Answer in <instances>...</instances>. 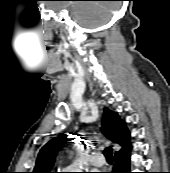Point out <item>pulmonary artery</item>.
Listing matches in <instances>:
<instances>
[{
    "instance_id": "e3ab8cb5",
    "label": "pulmonary artery",
    "mask_w": 170,
    "mask_h": 173,
    "mask_svg": "<svg viewBox=\"0 0 170 173\" xmlns=\"http://www.w3.org/2000/svg\"><path fill=\"white\" fill-rule=\"evenodd\" d=\"M90 162L92 165L96 166V167H100L104 164V158L97 154V153H93L91 156H90Z\"/></svg>"
}]
</instances>
